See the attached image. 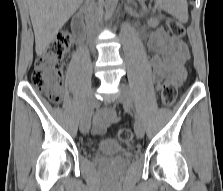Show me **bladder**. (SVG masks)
Here are the masks:
<instances>
[{
    "label": "bladder",
    "mask_w": 223,
    "mask_h": 191,
    "mask_svg": "<svg viewBox=\"0 0 223 191\" xmlns=\"http://www.w3.org/2000/svg\"><path fill=\"white\" fill-rule=\"evenodd\" d=\"M124 152L123 145L112 138H106L99 142L97 153L102 156H116Z\"/></svg>",
    "instance_id": "31cf9c89"
}]
</instances>
